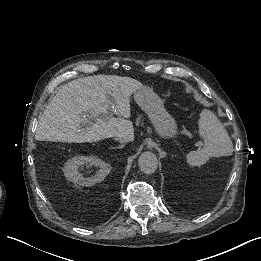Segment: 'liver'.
I'll return each mask as SVG.
<instances>
[{
  "label": "liver",
  "mask_w": 261,
  "mask_h": 261,
  "mask_svg": "<svg viewBox=\"0 0 261 261\" xmlns=\"http://www.w3.org/2000/svg\"><path fill=\"white\" fill-rule=\"evenodd\" d=\"M141 82L130 77L95 75L78 78L63 85L39 118L35 138L41 141L83 143L125 136L134 141L130 120V96L142 88ZM114 106L118 118L105 121ZM87 120L95 125L86 126Z\"/></svg>",
  "instance_id": "obj_1"
}]
</instances>
